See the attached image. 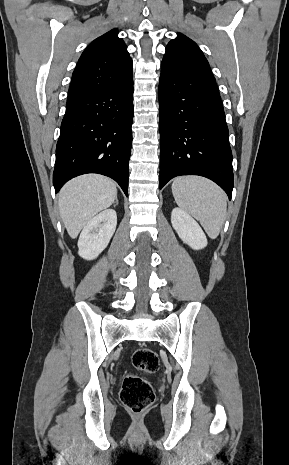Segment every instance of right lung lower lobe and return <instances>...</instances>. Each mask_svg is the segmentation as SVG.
I'll list each match as a JSON object with an SVG mask.
<instances>
[{"label":"right lung lower lobe","mask_w":289,"mask_h":465,"mask_svg":"<svg viewBox=\"0 0 289 465\" xmlns=\"http://www.w3.org/2000/svg\"><path fill=\"white\" fill-rule=\"evenodd\" d=\"M132 122V75L115 87L68 101L56 147L55 192L73 177L98 173L114 179L128 196Z\"/></svg>","instance_id":"obj_1"}]
</instances>
